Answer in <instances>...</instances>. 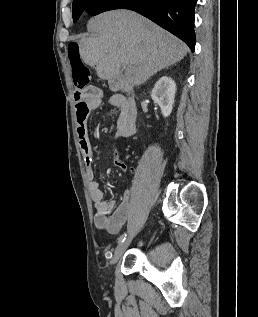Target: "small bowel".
<instances>
[{
	"label": "small bowel",
	"instance_id": "c3829d8e",
	"mask_svg": "<svg viewBox=\"0 0 258 317\" xmlns=\"http://www.w3.org/2000/svg\"><path fill=\"white\" fill-rule=\"evenodd\" d=\"M86 98L75 107L77 135L79 146L84 157L89 179V194L95 207L94 223L98 229L109 234H117L133 209V200L129 191H125L121 202L115 207L114 201L105 200L98 181L94 178L93 162L94 148L88 134V119L93 110L99 107L101 92L99 88L91 86L85 89ZM110 104L119 110L115 128V137L126 138L134 134L136 121L135 103L123 95H114ZM114 164L122 171H127L125 162L116 158Z\"/></svg>",
	"mask_w": 258,
	"mask_h": 317
}]
</instances>
